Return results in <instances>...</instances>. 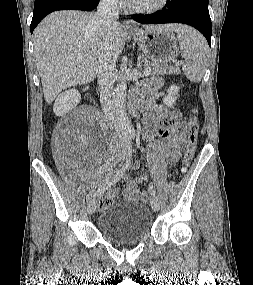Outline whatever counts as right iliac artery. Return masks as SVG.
<instances>
[{"label": "right iliac artery", "mask_w": 253, "mask_h": 285, "mask_svg": "<svg viewBox=\"0 0 253 285\" xmlns=\"http://www.w3.org/2000/svg\"><path fill=\"white\" fill-rule=\"evenodd\" d=\"M125 142H126V148H127V160L126 163L123 165V167L109 180L107 181L104 185H102L101 187H99L91 196L92 197H96L101 195L102 193H104V191L108 188H110L111 186H113L114 184H116L124 175V173L126 172V170L129 167L130 164V156L132 153V149H131V138L130 137H126L125 138Z\"/></svg>", "instance_id": "82829eb1"}]
</instances>
